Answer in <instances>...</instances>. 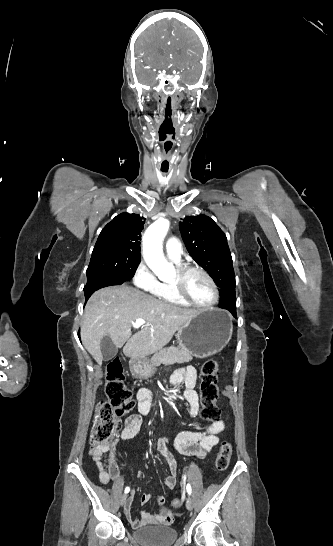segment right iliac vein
I'll list each match as a JSON object with an SVG mask.
<instances>
[{
	"label": "right iliac vein",
	"instance_id": "obj_1",
	"mask_svg": "<svg viewBox=\"0 0 333 546\" xmlns=\"http://www.w3.org/2000/svg\"><path fill=\"white\" fill-rule=\"evenodd\" d=\"M126 498H127V495L126 494H123L120 498V504L123 505L126 501Z\"/></svg>",
	"mask_w": 333,
	"mask_h": 546
}]
</instances>
